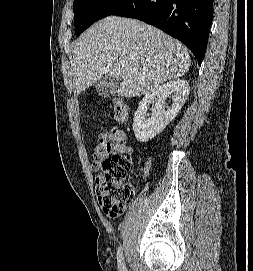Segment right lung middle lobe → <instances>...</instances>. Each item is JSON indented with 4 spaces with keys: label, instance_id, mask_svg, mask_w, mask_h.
Returning a JSON list of instances; mask_svg holds the SVG:
<instances>
[{
    "label": "right lung middle lobe",
    "instance_id": "obj_1",
    "mask_svg": "<svg viewBox=\"0 0 253 271\" xmlns=\"http://www.w3.org/2000/svg\"><path fill=\"white\" fill-rule=\"evenodd\" d=\"M128 0H74V24L79 36L95 21L112 15Z\"/></svg>",
    "mask_w": 253,
    "mask_h": 271
}]
</instances>
